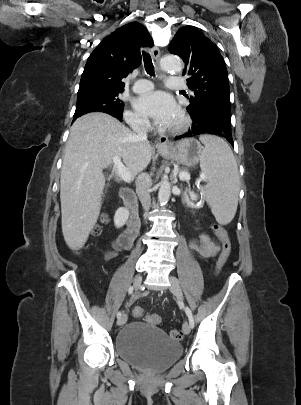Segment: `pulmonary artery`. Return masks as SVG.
Instances as JSON below:
<instances>
[{
    "mask_svg": "<svg viewBox=\"0 0 301 405\" xmlns=\"http://www.w3.org/2000/svg\"><path fill=\"white\" fill-rule=\"evenodd\" d=\"M167 87L175 90L186 88V82L178 76H170L167 79ZM153 89V83L146 79H139L135 82L133 90L136 93H145Z\"/></svg>",
    "mask_w": 301,
    "mask_h": 405,
    "instance_id": "e3ab8cb5",
    "label": "pulmonary artery"
}]
</instances>
